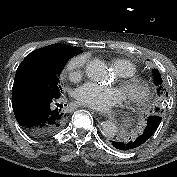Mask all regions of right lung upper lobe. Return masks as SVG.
<instances>
[{
  "label": "right lung upper lobe",
  "mask_w": 177,
  "mask_h": 177,
  "mask_svg": "<svg viewBox=\"0 0 177 177\" xmlns=\"http://www.w3.org/2000/svg\"><path fill=\"white\" fill-rule=\"evenodd\" d=\"M76 53L77 50L75 47L65 44H53L34 50L19 65L15 80L27 69L49 70L55 68L63 62L68 61Z\"/></svg>",
  "instance_id": "obj_1"
}]
</instances>
